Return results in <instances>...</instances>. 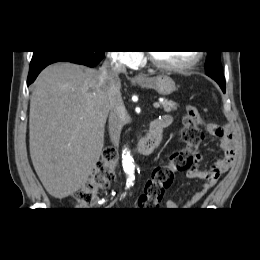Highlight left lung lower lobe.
Returning a JSON list of instances; mask_svg holds the SVG:
<instances>
[{
  "mask_svg": "<svg viewBox=\"0 0 260 260\" xmlns=\"http://www.w3.org/2000/svg\"><path fill=\"white\" fill-rule=\"evenodd\" d=\"M212 79H214L219 86L221 87L222 91L225 93V77L222 73H207Z\"/></svg>",
  "mask_w": 260,
  "mask_h": 260,
  "instance_id": "0a47b994",
  "label": "left lung lower lobe"
}]
</instances>
